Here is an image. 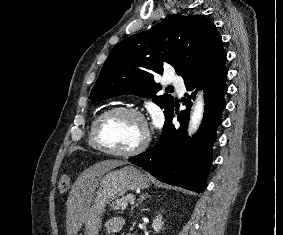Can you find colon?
<instances>
[{
  "label": "colon",
  "instance_id": "colon-1",
  "mask_svg": "<svg viewBox=\"0 0 283 235\" xmlns=\"http://www.w3.org/2000/svg\"><path fill=\"white\" fill-rule=\"evenodd\" d=\"M70 186V177L66 174L62 175L59 180L58 190L59 192H65Z\"/></svg>",
  "mask_w": 283,
  "mask_h": 235
}]
</instances>
